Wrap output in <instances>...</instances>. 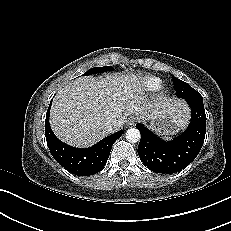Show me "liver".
I'll return each mask as SVG.
<instances>
[{
	"mask_svg": "<svg viewBox=\"0 0 231 231\" xmlns=\"http://www.w3.org/2000/svg\"><path fill=\"white\" fill-rule=\"evenodd\" d=\"M165 107L159 111L151 104L146 105L141 83L134 75L86 76L58 91L51 106L50 125L63 142L89 147L112 133L107 128L109 121L122 119L125 122L134 113L152 119L161 112L171 111L179 127L187 124L189 109L185 103L174 101Z\"/></svg>",
	"mask_w": 231,
	"mask_h": 231,
	"instance_id": "1",
	"label": "liver"
}]
</instances>
